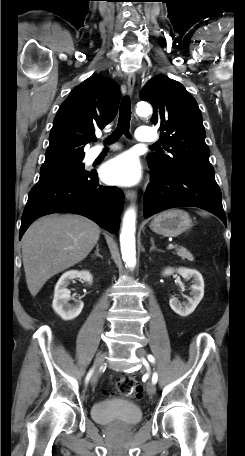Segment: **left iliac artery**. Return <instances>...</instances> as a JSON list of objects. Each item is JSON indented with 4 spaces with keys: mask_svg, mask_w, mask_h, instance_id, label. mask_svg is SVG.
Wrapping results in <instances>:
<instances>
[{
    "mask_svg": "<svg viewBox=\"0 0 245 456\" xmlns=\"http://www.w3.org/2000/svg\"><path fill=\"white\" fill-rule=\"evenodd\" d=\"M148 360L151 362V363H154L155 362V358L152 356V355H148ZM158 380V375L156 372L153 373L152 375V382L155 384Z\"/></svg>",
    "mask_w": 245,
    "mask_h": 456,
    "instance_id": "44dca946",
    "label": "left iliac artery"
}]
</instances>
